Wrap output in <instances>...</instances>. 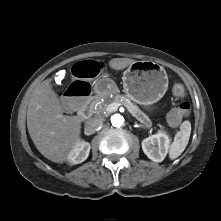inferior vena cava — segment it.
<instances>
[{
	"label": "inferior vena cava",
	"mask_w": 221,
	"mask_h": 221,
	"mask_svg": "<svg viewBox=\"0 0 221 221\" xmlns=\"http://www.w3.org/2000/svg\"><path fill=\"white\" fill-rule=\"evenodd\" d=\"M103 124V119L101 118H90L85 122V130L90 133L95 132Z\"/></svg>",
	"instance_id": "obj_1"
}]
</instances>
